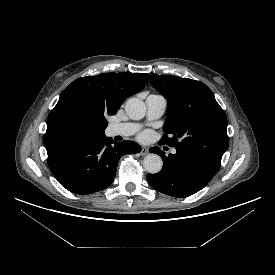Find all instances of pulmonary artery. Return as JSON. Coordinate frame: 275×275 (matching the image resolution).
Here are the masks:
<instances>
[{
  "instance_id": "e3ab8cb5",
  "label": "pulmonary artery",
  "mask_w": 275,
  "mask_h": 275,
  "mask_svg": "<svg viewBox=\"0 0 275 275\" xmlns=\"http://www.w3.org/2000/svg\"><path fill=\"white\" fill-rule=\"evenodd\" d=\"M147 106V119L155 120L160 118L165 112L167 101L158 94H151L146 99ZM140 128L136 123H120L110 125L107 129V134L111 137L114 136H130L133 135ZM172 154L176 153V149L171 150Z\"/></svg>"
}]
</instances>
